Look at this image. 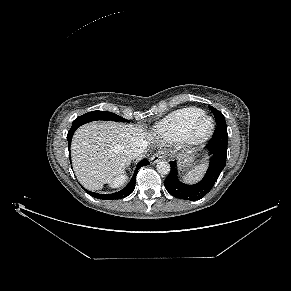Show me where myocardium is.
<instances>
[{
	"mask_svg": "<svg viewBox=\"0 0 291 291\" xmlns=\"http://www.w3.org/2000/svg\"><path fill=\"white\" fill-rule=\"evenodd\" d=\"M205 123H208L206 127H204ZM214 129L215 122L213 118L204 115L192 125L184 137L185 142L190 146L202 145L212 136Z\"/></svg>",
	"mask_w": 291,
	"mask_h": 291,
	"instance_id": "obj_1",
	"label": "myocardium"
}]
</instances>
